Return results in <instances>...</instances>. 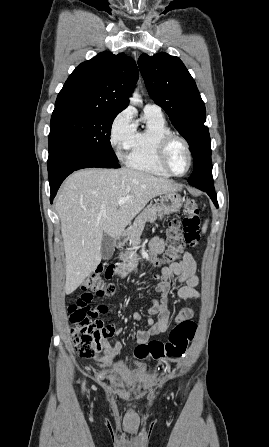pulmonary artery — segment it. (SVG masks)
I'll return each instance as SVG.
<instances>
[{
	"instance_id": "obj_1",
	"label": "pulmonary artery",
	"mask_w": 269,
	"mask_h": 447,
	"mask_svg": "<svg viewBox=\"0 0 269 447\" xmlns=\"http://www.w3.org/2000/svg\"><path fill=\"white\" fill-rule=\"evenodd\" d=\"M144 110L147 112H151V113L160 115V116L163 115L161 107L157 104H151V103L146 104L144 107Z\"/></svg>"
}]
</instances>
